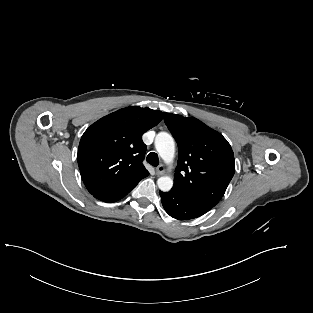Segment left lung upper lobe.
Instances as JSON below:
<instances>
[{
    "mask_svg": "<svg viewBox=\"0 0 313 313\" xmlns=\"http://www.w3.org/2000/svg\"><path fill=\"white\" fill-rule=\"evenodd\" d=\"M164 121L179 149L172 189L215 206L235 172L230 144L196 118L164 113Z\"/></svg>",
    "mask_w": 313,
    "mask_h": 313,
    "instance_id": "5c2ea615",
    "label": "left lung upper lobe"
}]
</instances>
